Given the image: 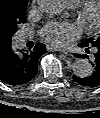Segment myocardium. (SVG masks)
Instances as JSON below:
<instances>
[{"mask_svg": "<svg viewBox=\"0 0 100 118\" xmlns=\"http://www.w3.org/2000/svg\"><path fill=\"white\" fill-rule=\"evenodd\" d=\"M79 16L88 27H94L99 21V5L96 0H83L80 4Z\"/></svg>", "mask_w": 100, "mask_h": 118, "instance_id": "f54148a6", "label": "myocardium"}]
</instances>
